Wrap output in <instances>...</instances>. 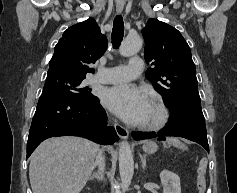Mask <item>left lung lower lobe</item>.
<instances>
[{
	"label": "left lung lower lobe",
	"instance_id": "left-lung-lower-lobe-1",
	"mask_svg": "<svg viewBox=\"0 0 237 193\" xmlns=\"http://www.w3.org/2000/svg\"><path fill=\"white\" fill-rule=\"evenodd\" d=\"M135 140H143L159 137L164 140L165 136L183 137L202 145L209 152L205 119L203 115L186 116L180 120H170L168 125L158 133L133 132Z\"/></svg>",
	"mask_w": 237,
	"mask_h": 193
}]
</instances>
